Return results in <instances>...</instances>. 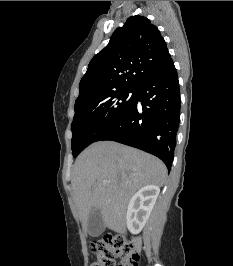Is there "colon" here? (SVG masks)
<instances>
[{"instance_id":"5ec220e1","label":"colon","mask_w":233,"mask_h":266,"mask_svg":"<svg viewBox=\"0 0 233 266\" xmlns=\"http://www.w3.org/2000/svg\"><path fill=\"white\" fill-rule=\"evenodd\" d=\"M97 255L95 266H115V259L120 258L119 266H138L139 254L135 244L126 241L122 236H106L92 244Z\"/></svg>"}]
</instances>
